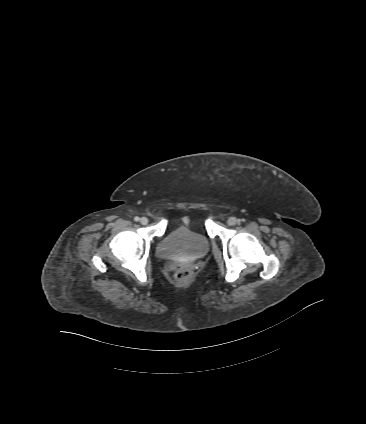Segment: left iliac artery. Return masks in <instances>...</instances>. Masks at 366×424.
I'll return each instance as SVG.
<instances>
[{"mask_svg": "<svg viewBox=\"0 0 366 424\" xmlns=\"http://www.w3.org/2000/svg\"><path fill=\"white\" fill-rule=\"evenodd\" d=\"M244 221H245L244 219H239L238 223H241V222H244Z\"/></svg>", "mask_w": 366, "mask_h": 424, "instance_id": "1", "label": "left iliac artery"}]
</instances>
